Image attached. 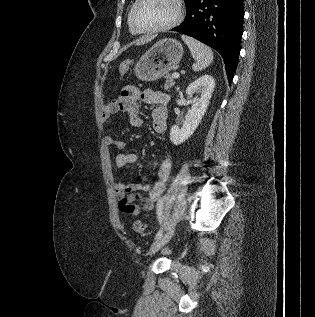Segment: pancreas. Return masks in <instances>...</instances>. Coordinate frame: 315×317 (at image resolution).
<instances>
[{"label": "pancreas", "mask_w": 315, "mask_h": 317, "mask_svg": "<svg viewBox=\"0 0 315 317\" xmlns=\"http://www.w3.org/2000/svg\"><path fill=\"white\" fill-rule=\"evenodd\" d=\"M165 78H166V82L164 85V89L169 91L171 89V87L175 84V82H174L173 77L170 75H166Z\"/></svg>", "instance_id": "cf45deb5"}]
</instances>
